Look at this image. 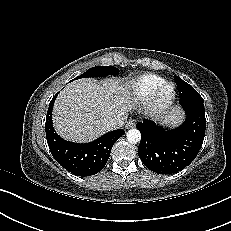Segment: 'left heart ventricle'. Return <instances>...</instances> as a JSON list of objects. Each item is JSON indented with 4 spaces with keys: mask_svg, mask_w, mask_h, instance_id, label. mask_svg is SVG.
I'll return each mask as SVG.
<instances>
[{
    "mask_svg": "<svg viewBox=\"0 0 231 231\" xmlns=\"http://www.w3.org/2000/svg\"><path fill=\"white\" fill-rule=\"evenodd\" d=\"M167 94H168V91H165V92L163 93L164 96H166Z\"/></svg>",
    "mask_w": 231,
    "mask_h": 231,
    "instance_id": "1",
    "label": "left heart ventricle"
}]
</instances>
